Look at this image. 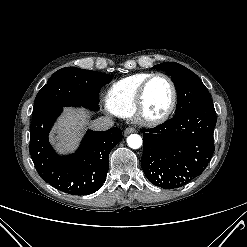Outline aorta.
I'll use <instances>...</instances> for the list:
<instances>
[{
    "label": "aorta",
    "mask_w": 247,
    "mask_h": 247,
    "mask_svg": "<svg viewBox=\"0 0 247 247\" xmlns=\"http://www.w3.org/2000/svg\"><path fill=\"white\" fill-rule=\"evenodd\" d=\"M143 140L138 134H131L127 137V144L132 149H138L142 146Z\"/></svg>",
    "instance_id": "762f6f07"
}]
</instances>
